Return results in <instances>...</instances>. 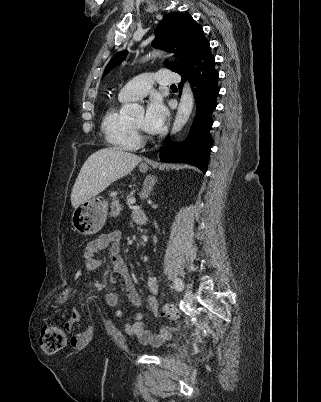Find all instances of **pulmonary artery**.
Instances as JSON below:
<instances>
[{
    "mask_svg": "<svg viewBox=\"0 0 321 402\" xmlns=\"http://www.w3.org/2000/svg\"><path fill=\"white\" fill-rule=\"evenodd\" d=\"M180 82V75L169 69H162L156 73H145L127 83L120 90L118 98L122 101L136 100L145 96L154 84L166 86Z\"/></svg>",
    "mask_w": 321,
    "mask_h": 402,
    "instance_id": "obj_1",
    "label": "pulmonary artery"
}]
</instances>
